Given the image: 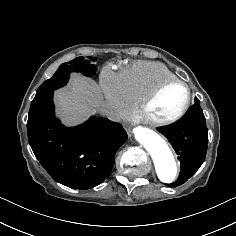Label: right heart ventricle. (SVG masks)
I'll return each instance as SVG.
<instances>
[{"instance_id":"obj_1","label":"right heart ventricle","mask_w":236,"mask_h":236,"mask_svg":"<svg viewBox=\"0 0 236 236\" xmlns=\"http://www.w3.org/2000/svg\"><path fill=\"white\" fill-rule=\"evenodd\" d=\"M176 75L164 64L136 61L127 65L122 73L125 93L133 104H138L157 84Z\"/></svg>"}]
</instances>
